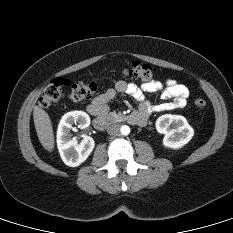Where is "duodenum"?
Returning a JSON list of instances; mask_svg holds the SVG:
<instances>
[{"instance_id":"410a0bca","label":"duodenum","mask_w":233,"mask_h":233,"mask_svg":"<svg viewBox=\"0 0 233 233\" xmlns=\"http://www.w3.org/2000/svg\"><path fill=\"white\" fill-rule=\"evenodd\" d=\"M94 116V126L99 130L106 129L112 122V118L107 115L99 114ZM146 120V116L140 112H134L128 117V121L130 123L137 125H144L146 123Z\"/></svg>"}]
</instances>
